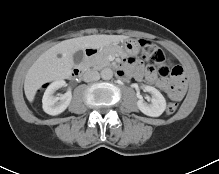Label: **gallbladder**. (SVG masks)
I'll return each instance as SVG.
<instances>
[{
  "label": "gallbladder",
  "mask_w": 219,
  "mask_h": 174,
  "mask_svg": "<svg viewBox=\"0 0 219 174\" xmlns=\"http://www.w3.org/2000/svg\"><path fill=\"white\" fill-rule=\"evenodd\" d=\"M83 58H84V53L81 50L75 52L73 55V60L75 64L81 63L83 61Z\"/></svg>",
  "instance_id": "gallbladder-1"
}]
</instances>
